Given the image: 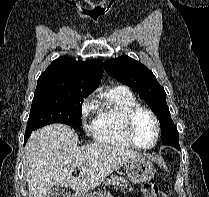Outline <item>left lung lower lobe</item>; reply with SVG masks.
Returning <instances> with one entry per match:
<instances>
[{
    "label": "left lung lower lobe",
    "instance_id": "obj_1",
    "mask_svg": "<svg viewBox=\"0 0 209 197\" xmlns=\"http://www.w3.org/2000/svg\"><path fill=\"white\" fill-rule=\"evenodd\" d=\"M172 146L175 147L176 149L180 150L179 144H174V145H172Z\"/></svg>",
    "mask_w": 209,
    "mask_h": 197
}]
</instances>
